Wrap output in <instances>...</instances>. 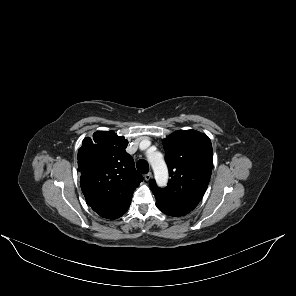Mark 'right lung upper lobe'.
I'll list each match as a JSON object with an SVG mask.
<instances>
[{"label":"right lung upper lobe","mask_w":296,"mask_h":296,"mask_svg":"<svg viewBox=\"0 0 296 296\" xmlns=\"http://www.w3.org/2000/svg\"><path fill=\"white\" fill-rule=\"evenodd\" d=\"M128 141L113 131H97L78 151L80 186L92 209L131 202L143 176L126 153Z\"/></svg>","instance_id":"cb5924a9"}]
</instances>
